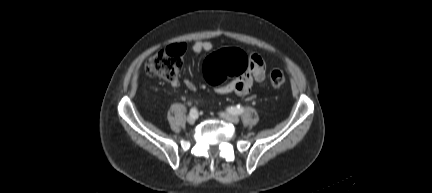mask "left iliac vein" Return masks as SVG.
I'll return each instance as SVG.
<instances>
[{
	"mask_svg": "<svg viewBox=\"0 0 432 193\" xmlns=\"http://www.w3.org/2000/svg\"><path fill=\"white\" fill-rule=\"evenodd\" d=\"M220 116L223 119H225V120H227V121H229L231 123H238L239 122V117L236 116V115L230 114V113L224 112V113H221Z\"/></svg>",
	"mask_w": 432,
	"mask_h": 193,
	"instance_id": "1",
	"label": "left iliac vein"
}]
</instances>
